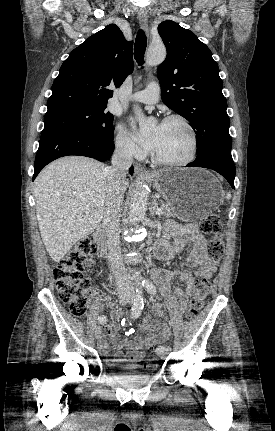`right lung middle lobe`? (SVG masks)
<instances>
[{
	"mask_svg": "<svg viewBox=\"0 0 275 431\" xmlns=\"http://www.w3.org/2000/svg\"><path fill=\"white\" fill-rule=\"evenodd\" d=\"M107 105L81 106L47 112L46 129L68 128L113 138V115L107 112Z\"/></svg>",
	"mask_w": 275,
	"mask_h": 431,
	"instance_id": "1",
	"label": "right lung middle lobe"
}]
</instances>
